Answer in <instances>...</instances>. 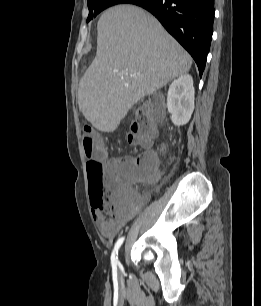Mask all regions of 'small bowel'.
<instances>
[{
    "label": "small bowel",
    "mask_w": 261,
    "mask_h": 306,
    "mask_svg": "<svg viewBox=\"0 0 261 306\" xmlns=\"http://www.w3.org/2000/svg\"><path fill=\"white\" fill-rule=\"evenodd\" d=\"M152 159L153 165L157 166V155L153 152L146 154ZM135 159L133 157L115 158L110 162H121L131 164ZM149 197V193L138 195L132 191V195L125 201L121 202L114 210L106 213L101 210H93L92 216L98 224L100 233L107 239H112L116 236L119 230L139 211L142 205Z\"/></svg>",
    "instance_id": "obj_1"
}]
</instances>
